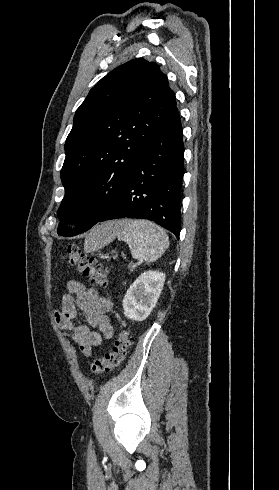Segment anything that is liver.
<instances>
[{"label": "liver", "instance_id": "1", "mask_svg": "<svg viewBox=\"0 0 279 490\" xmlns=\"http://www.w3.org/2000/svg\"><path fill=\"white\" fill-rule=\"evenodd\" d=\"M97 228H99V230H102V232H104V234H110V232H112L113 228H114V222H105V224H101V226H97ZM115 230H117V226H115ZM87 242V240H86ZM88 248H90V246H87V250ZM89 252V250H88Z\"/></svg>", "mask_w": 279, "mask_h": 490}]
</instances>
